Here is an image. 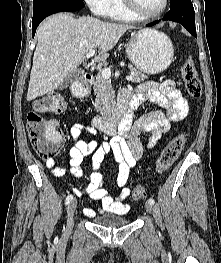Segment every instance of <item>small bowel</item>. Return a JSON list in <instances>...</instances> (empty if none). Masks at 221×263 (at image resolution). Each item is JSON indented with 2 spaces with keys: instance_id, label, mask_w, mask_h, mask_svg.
Wrapping results in <instances>:
<instances>
[{
  "instance_id": "obj_1",
  "label": "small bowel",
  "mask_w": 221,
  "mask_h": 263,
  "mask_svg": "<svg viewBox=\"0 0 221 263\" xmlns=\"http://www.w3.org/2000/svg\"><path fill=\"white\" fill-rule=\"evenodd\" d=\"M132 100L139 105L144 101H151L162 107L164 110L151 111L140 117L126 129H121L117 136L108 142L99 143L97 140L85 141L80 138L86 133L92 136L98 134L96 127L76 123L71 126L69 134L71 141L67 143L66 151L69 155V172L77 177L83 176L81 164L85 156H92L93 172L90 175L89 183L83 188H74V193L81 196H88L92 200L100 201L99 213L111 212L115 214H126L130 204L125 200L130 195V188L127 186L131 169L136 161L142 156L143 147L141 137H149L148 147L153 148L161 136L168 131L172 122L183 120L189 112L187 100L176 88L174 81L165 80L162 82L147 81L138 85L136 93L131 95ZM112 155L118 165L116 185L121 188L120 195L113 198L104 187V177L101 173L102 163L107 155ZM45 164L51 168L53 176L60 178L66 174V169L54 165L53 160H46ZM85 215L93 217L95 212L92 209H85Z\"/></svg>"
}]
</instances>
